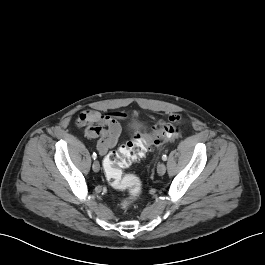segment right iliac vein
<instances>
[{"mask_svg":"<svg viewBox=\"0 0 265 265\" xmlns=\"http://www.w3.org/2000/svg\"><path fill=\"white\" fill-rule=\"evenodd\" d=\"M92 168L95 172H98L100 170V163L96 160L93 162Z\"/></svg>","mask_w":265,"mask_h":265,"instance_id":"obj_1","label":"right iliac vein"}]
</instances>
